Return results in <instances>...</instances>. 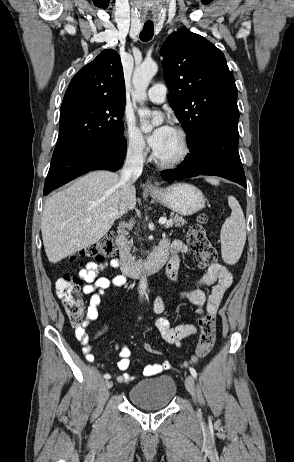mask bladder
<instances>
[{"instance_id": "31cf9c89", "label": "bladder", "mask_w": 294, "mask_h": 462, "mask_svg": "<svg viewBox=\"0 0 294 462\" xmlns=\"http://www.w3.org/2000/svg\"><path fill=\"white\" fill-rule=\"evenodd\" d=\"M177 393V384L169 374L141 380L128 392V400L143 409H160L168 406Z\"/></svg>"}]
</instances>
